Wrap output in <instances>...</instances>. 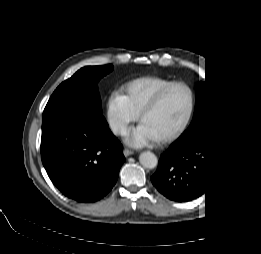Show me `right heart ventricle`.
I'll use <instances>...</instances> for the list:
<instances>
[{
	"instance_id": "1",
	"label": "right heart ventricle",
	"mask_w": 261,
	"mask_h": 254,
	"mask_svg": "<svg viewBox=\"0 0 261 254\" xmlns=\"http://www.w3.org/2000/svg\"><path fill=\"white\" fill-rule=\"evenodd\" d=\"M170 82L156 78H141L132 82L127 89V97L133 109L139 114L142 109Z\"/></svg>"
}]
</instances>
